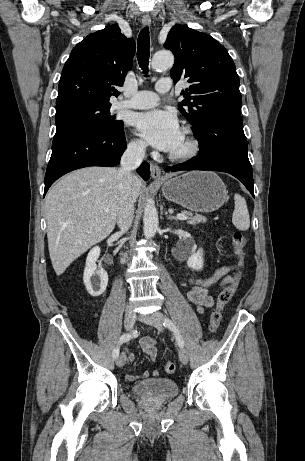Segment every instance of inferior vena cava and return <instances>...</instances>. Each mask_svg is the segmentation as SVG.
Masks as SVG:
<instances>
[{
  "instance_id": "602c4592",
  "label": "inferior vena cava",
  "mask_w": 305,
  "mask_h": 461,
  "mask_svg": "<svg viewBox=\"0 0 305 461\" xmlns=\"http://www.w3.org/2000/svg\"><path fill=\"white\" fill-rule=\"evenodd\" d=\"M144 143H130L121 157L118 170L119 200L116 212L121 232H126L133 220L135 197L132 193L133 171L140 166L145 156Z\"/></svg>"
}]
</instances>
